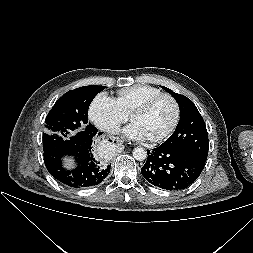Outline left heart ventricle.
I'll list each match as a JSON object with an SVG mask.
<instances>
[{"label":"left heart ventricle","mask_w":253,"mask_h":253,"mask_svg":"<svg viewBox=\"0 0 253 253\" xmlns=\"http://www.w3.org/2000/svg\"><path fill=\"white\" fill-rule=\"evenodd\" d=\"M174 113L172 102L168 98H162L148 112L134 118L133 122L137 123L149 138H154L162 135L170 127Z\"/></svg>","instance_id":"obj_1"}]
</instances>
